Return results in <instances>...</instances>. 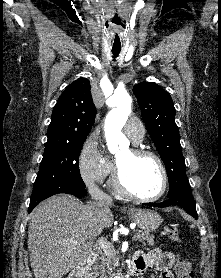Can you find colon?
<instances>
[{
	"instance_id": "colon-1",
	"label": "colon",
	"mask_w": 221,
	"mask_h": 278,
	"mask_svg": "<svg viewBox=\"0 0 221 278\" xmlns=\"http://www.w3.org/2000/svg\"><path fill=\"white\" fill-rule=\"evenodd\" d=\"M165 235L173 242H180V234L175 228H166ZM177 278H193V271L190 263L187 261H180L176 267Z\"/></svg>"
}]
</instances>
